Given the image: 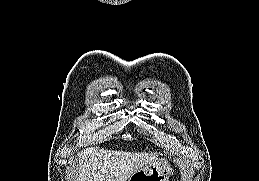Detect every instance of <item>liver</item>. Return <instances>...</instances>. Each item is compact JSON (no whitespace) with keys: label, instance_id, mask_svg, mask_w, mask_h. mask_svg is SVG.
I'll return each mask as SVG.
<instances>
[{"label":"liver","instance_id":"liver-1","mask_svg":"<svg viewBox=\"0 0 259 181\" xmlns=\"http://www.w3.org/2000/svg\"><path fill=\"white\" fill-rule=\"evenodd\" d=\"M75 181H127L132 174L156 161V153L87 148L78 153Z\"/></svg>","mask_w":259,"mask_h":181}]
</instances>
